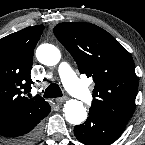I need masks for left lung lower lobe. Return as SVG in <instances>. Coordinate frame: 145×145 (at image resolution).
Returning a JSON list of instances; mask_svg holds the SVG:
<instances>
[{"instance_id": "obj_1", "label": "left lung lower lobe", "mask_w": 145, "mask_h": 145, "mask_svg": "<svg viewBox=\"0 0 145 145\" xmlns=\"http://www.w3.org/2000/svg\"><path fill=\"white\" fill-rule=\"evenodd\" d=\"M125 126L89 110V117L74 128V134L85 145H109L121 135Z\"/></svg>"}]
</instances>
